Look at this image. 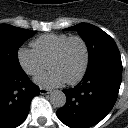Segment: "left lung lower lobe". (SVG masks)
Instances as JSON below:
<instances>
[{"instance_id":"left-lung-lower-lobe-1","label":"left lung lower lobe","mask_w":128,"mask_h":128,"mask_svg":"<svg viewBox=\"0 0 128 128\" xmlns=\"http://www.w3.org/2000/svg\"><path fill=\"white\" fill-rule=\"evenodd\" d=\"M122 80L120 56H108L88 66L82 81L63 90L66 104L58 118L71 128H88L101 121L113 108Z\"/></svg>"}]
</instances>
